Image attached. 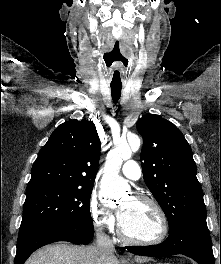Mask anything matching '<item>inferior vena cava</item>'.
Masks as SVG:
<instances>
[{
  "label": "inferior vena cava",
  "mask_w": 221,
  "mask_h": 264,
  "mask_svg": "<svg viewBox=\"0 0 221 264\" xmlns=\"http://www.w3.org/2000/svg\"><path fill=\"white\" fill-rule=\"evenodd\" d=\"M97 249L99 253L105 257L106 255H114L115 248L109 235H106L103 231L97 232Z\"/></svg>",
  "instance_id": "602c4592"
}]
</instances>
